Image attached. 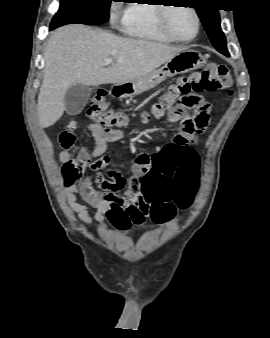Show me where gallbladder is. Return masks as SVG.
<instances>
[{"label": "gallbladder", "instance_id": "1", "mask_svg": "<svg viewBox=\"0 0 270 338\" xmlns=\"http://www.w3.org/2000/svg\"><path fill=\"white\" fill-rule=\"evenodd\" d=\"M91 93L92 88L86 85L75 84L69 87L64 97L67 113L69 115L79 114L88 102Z\"/></svg>", "mask_w": 270, "mask_h": 338}]
</instances>
